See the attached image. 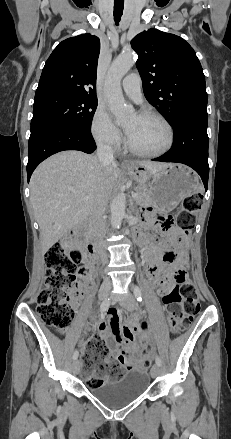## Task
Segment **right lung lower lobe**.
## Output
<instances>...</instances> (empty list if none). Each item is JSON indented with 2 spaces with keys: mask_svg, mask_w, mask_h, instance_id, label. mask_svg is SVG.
I'll return each mask as SVG.
<instances>
[{
  "mask_svg": "<svg viewBox=\"0 0 231 439\" xmlns=\"http://www.w3.org/2000/svg\"><path fill=\"white\" fill-rule=\"evenodd\" d=\"M96 149L91 130L69 124L57 125L30 136L28 182L34 169L47 157L63 150H80L92 153Z\"/></svg>",
  "mask_w": 231,
  "mask_h": 439,
  "instance_id": "1",
  "label": "right lung lower lobe"
}]
</instances>
